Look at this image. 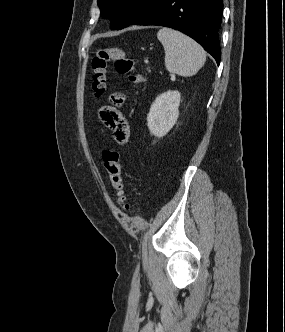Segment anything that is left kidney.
I'll return each instance as SVG.
<instances>
[{"label": "left kidney", "mask_w": 285, "mask_h": 332, "mask_svg": "<svg viewBox=\"0 0 285 332\" xmlns=\"http://www.w3.org/2000/svg\"><path fill=\"white\" fill-rule=\"evenodd\" d=\"M180 100L179 91H167L155 99L147 116L151 134L163 137L170 131L178 119Z\"/></svg>", "instance_id": "1"}]
</instances>
